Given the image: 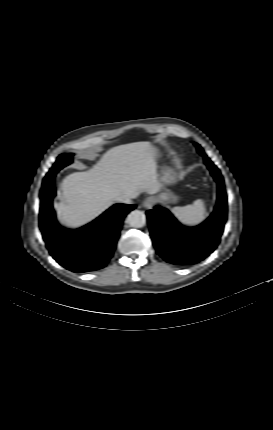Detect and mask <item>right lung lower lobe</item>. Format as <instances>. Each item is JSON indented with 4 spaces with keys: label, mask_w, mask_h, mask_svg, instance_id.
Masks as SVG:
<instances>
[{
    "label": "right lung lower lobe",
    "mask_w": 273,
    "mask_h": 430,
    "mask_svg": "<svg viewBox=\"0 0 273 430\" xmlns=\"http://www.w3.org/2000/svg\"><path fill=\"white\" fill-rule=\"evenodd\" d=\"M54 176L44 179L40 192V230L51 256L73 272H89L104 268L116 248L124 217L135 205L116 204L93 222L77 229L61 227L55 218L52 199Z\"/></svg>",
    "instance_id": "1"
}]
</instances>
